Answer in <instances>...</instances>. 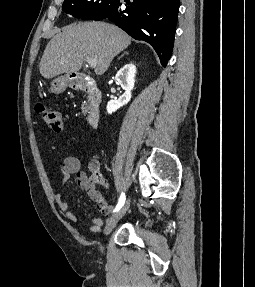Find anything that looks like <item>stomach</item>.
Here are the masks:
<instances>
[{
	"label": "stomach",
	"instance_id": "stomach-1",
	"mask_svg": "<svg viewBox=\"0 0 255 287\" xmlns=\"http://www.w3.org/2000/svg\"><path fill=\"white\" fill-rule=\"evenodd\" d=\"M69 86H71V78L69 74H66V76H60L51 82L50 92L51 94H62Z\"/></svg>",
	"mask_w": 255,
	"mask_h": 287
}]
</instances>
